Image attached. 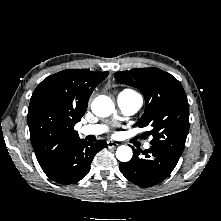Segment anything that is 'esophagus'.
I'll use <instances>...</instances> for the list:
<instances>
[{"instance_id":"obj_1","label":"esophagus","mask_w":221,"mask_h":221,"mask_svg":"<svg viewBox=\"0 0 221 221\" xmlns=\"http://www.w3.org/2000/svg\"><path fill=\"white\" fill-rule=\"evenodd\" d=\"M119 144L113 141H107V146L108 148H115L117 147Z\"/></svg>"}]
</instances>
